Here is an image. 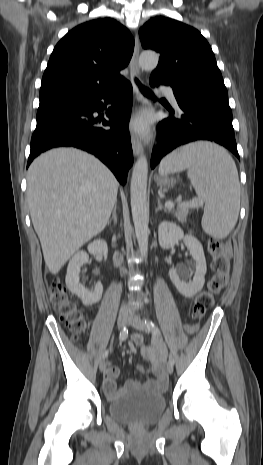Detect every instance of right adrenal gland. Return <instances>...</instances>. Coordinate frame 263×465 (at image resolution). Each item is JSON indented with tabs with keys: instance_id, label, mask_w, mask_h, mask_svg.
I'll return each instance as SVG.
<instances>
[{
	"instance_id": "1",
	"label": "right adrenal gland",
	"mask_w": 263,
	"mask_h": 465,
	"mask_svg": "<svg viewBox=\"0 0 263 465\" xmlns=\"http://www.w3.org/2000/svg\"><path fill=\"white\" fill-rule=\"evenodd\" d=\"M116 209H117V202H115L114 209L112 212V217L110 218V220H108V223H107L108 225L111 224L112 221L114 222V225L117 224Z\"/></svg>"
}]
</instances>
